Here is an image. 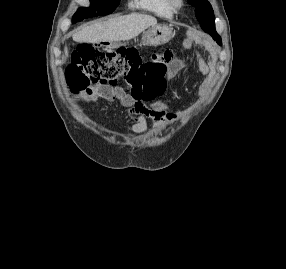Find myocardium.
<instances>
[{
	"label": "myocardium",
	"instance_id": "obj_1",
	"mask_svg": "<svg viewBox=\"0 0 286 269\" xmlns=\"http://www.w3.org/2000/svg\"><path fill=\"white\" fill-rule=\"evenodd\" d=\"M169 6L173 12L178 11L182 8L183 0H168Z\"/></svg>",
	"mask_w": 286,
	"mask_h": 269
}]
</instances>
